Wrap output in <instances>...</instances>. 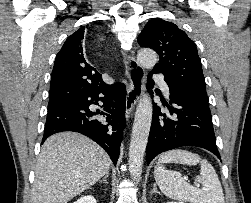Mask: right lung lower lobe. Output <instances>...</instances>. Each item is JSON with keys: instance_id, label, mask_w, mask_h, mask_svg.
Masks as SVG:
<instances>
[{"instance_id": "98d812e1", "label": "right lung lower lobe", "mask_w": 251, "mask_h": 203, "mask_svg": "<svg viewBox=\"0 0 251 203\" xmlns=\"http://www.w3.org/2000/svg\"><path fill=\"white\" fill-rule=\"evenodd\" d=\"M99 100L103 102L102 111L92 112L89 106ZM125 103L123 83L89 88L73 100L48 109L42 143L58 132H78L98 143L116 165L126 124ZM98 114L106 121L100 120Z\"/></svg>"}]
</instances>
